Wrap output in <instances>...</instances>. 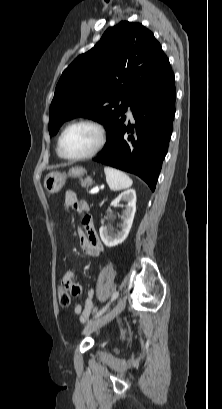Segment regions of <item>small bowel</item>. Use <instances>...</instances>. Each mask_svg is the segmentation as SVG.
I'll use <instances>...</instances> for the list:
<instances>
[{
  "mask_svg": "<svg viewBox=\"0 0 222 409\" xmlns=\"http://www.w3.org/2000/svg\"><path fill=\"white\" fill-rule=\"evenodd\" d=\"M74 210L78 215H82L81 224L78 228V236L82 250L89 256H99L103 251V246L97 235L91 216L88 214L89 205L84 200H79L75 193L68 191L64 198V211ZM72 270H69L63 277L62 282L69 285L70 295L80 297L82 295V285L76 280ZM94 289L87 292L84 305L76 304L74 313L79 316L82 323H86L91 315L90 310L94 307Z\"/></svg>",
  "mask_w": 222,
  "mask_h": 409,
  "instance_id": "1",
  "label": "small bowel"
}]
</instances>
